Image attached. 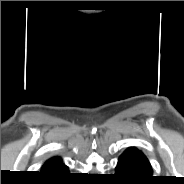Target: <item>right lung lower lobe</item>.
Segmentation results:
<instances>
[{"mask_svg":"<svg viewBox=\"0 0 184 184\" xmlns=\"http://www.w3.org/2000/svg\"><path fill=\"white\" fill-rule=\"evenodd\" d=\"M41 174L53 180L52 183H61V180H64L69 176V171L68 167L58 158L48 165L43 166Z\"/></svg>","mask_w":184,"mask_h":184,"instance_id":"98d812e1","label":"right lung lower lobe"}]
</instances>
